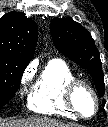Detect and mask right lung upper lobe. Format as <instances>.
<instances>
[{"label":"right lung upper lobe","instance_id":"right-lung-upper-lobe-1","mask_svg":"<svg viewBox=\"0 0 108 127\" xmlns=\"http://www.w3.org/2000/svg\"><path fill=\"white\" fill-rule=\"evenodd\" d=\"M37 39L36 22L23 14L13 11L0 19V55L29 63Z\"/></svg>","mask_w":108,"mask_h":127}]
</instances>
